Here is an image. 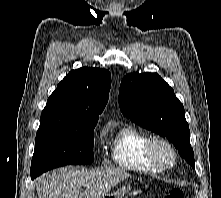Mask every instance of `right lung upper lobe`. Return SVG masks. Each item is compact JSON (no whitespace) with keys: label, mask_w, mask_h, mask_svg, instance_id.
<instances>
[{"label":"right lung upper lobe","mask_w":221,"mask_h":198,"mask_svg":"<svg viewBox=\"0 0 221 198\" xmlns=\"http://www.w3.org/2000/svg\"><path fill=\"white\" fill-rule=\"evenodd\" d=\"M111 87L105 69L83 67L69 72L48 98L39 129L85 131L96 126Z\"/></svg>","instance_id":"right-lung-upper-lobe-1"}]
</instances>
